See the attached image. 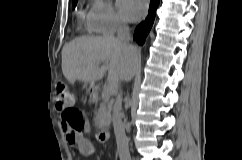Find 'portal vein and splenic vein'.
<instances>
[{
  "label": "portal vein and splenic vein",
  "instance_id": "1",
  "mask_svg": "<svg viewBox=\"0 0 242 160\" xmlns=\"http://www.w3.org/2000/svg\"><path fill=\"white\" fill-rule=\"evenodd\" d=\"M102 68L105 69V70L107 69L106 67H102ZM110 94H111V90H110L109 87L103 89V91H102V97H103L104 99H109Z\"/></svg>",
  "mask_w": 242,
  "mask_h": 160
}]
</instances>
